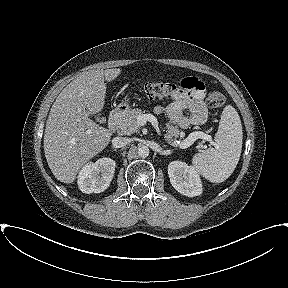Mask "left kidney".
Returning a JSON list of instances; mask_svg holds the SVG:
<instances>
[{"mask_svg":"<svg viewBox=\"0 0 288 288\" xmlns=\"http://www.w3.org/2000/svg\"><path fill=\"white\" fill-rule=\"evenodd\" d=\"M168 175L172 186L181 194L194 197L202 193L201 179L197 171L181 161L168 165Z\"/></svg>","mask_w":288,"mask_h":288,"instance_id":"left-kidney-1","label":"left kidney"}]
</instances>
